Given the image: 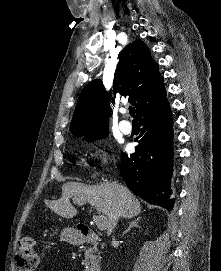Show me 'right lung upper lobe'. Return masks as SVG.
<instances>
[{
	"label": "right lung upper lobe",
	"instance_id": "1",
	"mask_svg": "<svg viewBox=\"0 0 221 271\" xmlns=\"http://www.w3.org/2000/svg\"><path fill=\"white\" fill-rule=\"evenodd\" d=\"M113 89L136 106L138 117L167 102L158 65L152 60L150 51L142 40L130 43L121 52L114 74ZM110 98L98 79L84 87L73 115L72 134L82 136L108 130Z\"/></svg>",
	"mask_w": 221,
	"mask_h": 271
}]
</instances>
